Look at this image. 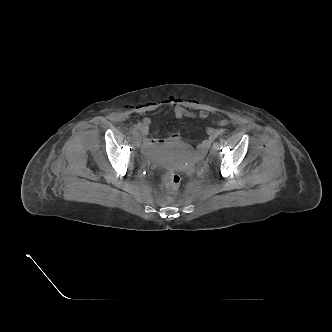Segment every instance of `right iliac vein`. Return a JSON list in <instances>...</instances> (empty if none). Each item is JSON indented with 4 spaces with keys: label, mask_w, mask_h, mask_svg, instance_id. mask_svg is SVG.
Segmentation results:
<instances>
[{
    "label": "right iliac vein",
    "mask_w": 332,
    "mask_h": 332,
    "mask_svg": "<svg viewBox=\"0 0 332 332\" xmlns=\"http://www.w3.org/2000/svg\"><path fill=\"white\" fill-rule=\"evenodd\" d=\"M134 139H135V145L137 147H140L141 146V137H140V135L139 134H135Z\"/></svg>",
    "instance_id": "63e3f726"
}]
</instances>
